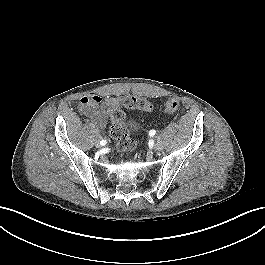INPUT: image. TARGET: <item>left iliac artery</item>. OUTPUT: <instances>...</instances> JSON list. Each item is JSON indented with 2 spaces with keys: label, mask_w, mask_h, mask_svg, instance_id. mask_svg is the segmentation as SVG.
<instances>
[{
  "label": "left iliac artery",
  "mask_w": 265,
  "mask_h": 265,
  "mask_svg": "<svg viewBox=\"0 0 265 265\" xmlns=\"http://www.w3.org/2000/svg\"><path fill=\"white\" fill-rule=\"evenodd\" d=\"M155 133H156V131H155V130H151V131L149 132V135H150V136H154V135H155Z\"/></svg>",
  "instance_id": "44dca946"
}]
</instances>
